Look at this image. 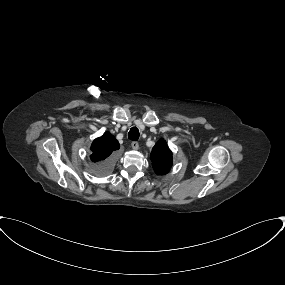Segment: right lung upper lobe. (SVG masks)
<instances>
[{"mask_svg": "<svg viewBox=\"0 0 285 285\" xmlns=\"http://www.w3.org/2000/svg\"><path fill=\"white\" fill-rule=\"evenodd\" d=\"M120 148L119 142L110 133H104L91 145L90 159L94 162L106 161L113 151Z\"/></svg>", "mask_w": 285, "mask_h": 285, "instance_id": "cb5924a9", "label": "right lung upper lobe"}]
</instances>
